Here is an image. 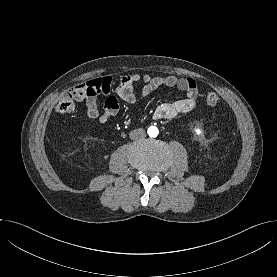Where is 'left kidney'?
<instances>
[{"label":"left kidney","mask_w":277,"mask_h":277,"mask_svg":"<svg viewBox=\"0 0 277 277\" xmlns=\"http://www.w3.org/2000/svg\"><path fill=\"white\" fill-rule=\"evenodd\" d=\"M195 132L197 135H200L202 133L200 129H196Z\"/></svg>","instance_id":"obj_1"}]
</instances>
